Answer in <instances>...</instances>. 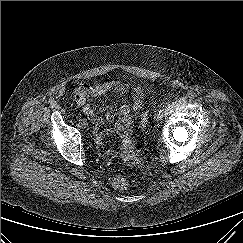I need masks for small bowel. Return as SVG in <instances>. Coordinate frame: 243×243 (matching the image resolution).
Listing matches in <instances>:
<instances>
[{
    "mask_svg": "<svg viewBox=\"0 0 243 243\" xmlns=\"http://www.w3.org/2000/svg\"><path fill=\"white\" fill-rule=\"evenodd\" d=\"M110 91H114L119 95H123L131 91L132 100L130 103L123 104L116 116L108 115L103 118L97 115L91 100L106 96ZM143 93L140 87H130L128 84L119 81L109 82H82L75 89V102L82 108L84 114L93 123L95 128V137L101 142L103 133L101 127L105 121H114V126L110 130L112 133L120 134L123 138H127L132 126L131 113L137 111L143 104Z\"/></svg>",
    "mask_w": 243,
    "mask_h": 243,
    "instance_id": "obj_1",
    "label": "small bowel"
}]
</instances>
